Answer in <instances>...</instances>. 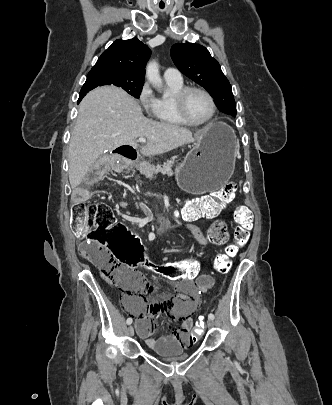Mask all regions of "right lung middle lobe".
I'll return each mask as SVG.
<instances>
[{
    "label": "right lung middle lobe",
    "mask_w": 332,
    "mask_h": 405,
    "mask_svg": "<svg viewBox=\"0 0 332 405\" xmlns=\"http://www.w3.org/2000/svg\"><path fill=\"white\" fill-rule=\"evenodd\" d=\"M144 80L133 78L118 72L98 71L88 73L87 80L83 85L82 91L89 92L90 90L102 85H115L124 89L127 93L139 98L143 87Z\"/></svg>",
    "instance_id": "right-lung-middle-lobe-1"
}]
</instances>
